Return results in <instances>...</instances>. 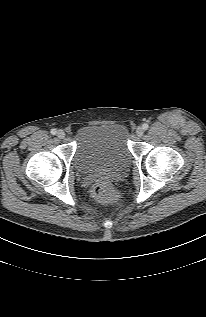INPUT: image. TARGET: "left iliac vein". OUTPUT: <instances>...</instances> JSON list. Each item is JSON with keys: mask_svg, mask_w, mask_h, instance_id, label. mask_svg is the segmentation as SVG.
I'll return each mask as SVG.
<instances>
[{"mask_svg": "<svg viewBox=\"0 0 206 317\" xmlns=\"http://www.w3.org/2000/svg\"><path fill=\"white\" fill-rule=\"evenodd\" d=\"M143 134H144V129H143L142 127H138V128L136 129V135H137L138 137H141Z\"/></svg>", "mask_w": 206, "mask_h": 317, "instance_id": "obj_1", "label": "left iliac vein"}]
</instances>
